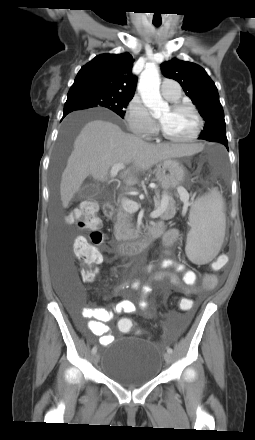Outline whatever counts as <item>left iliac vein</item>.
Wrapping results in <instances>:
<instances>
[{
	"instance_id": "left-iliac-vein-1",
	"label": "left iliac vein",
	"mask_w": 255,
	"mask_h": 440,
	"mask_svg": "<svg viewBox=\"0 0 255 440\" xmlns=\"http://www.w3.org/2000/svg\"><path fill=\"white\" fill-rule=\"evenodd\" d=\"M164 359H165L167 364H170L172 362V355L167 352V353L164 354Z\"/></svg>"
}]
</instances>
